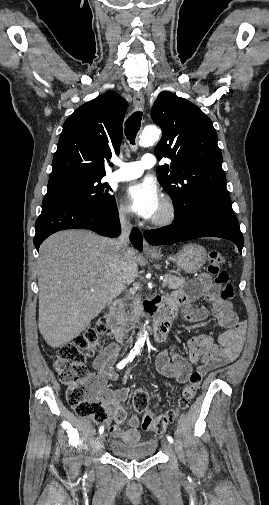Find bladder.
Listing matches in <instances>:
<instances>
[{"mask_svg": "<svg viewBox=\"0 0 269 505\" xmlns=\"http://www.w3.org/2000/svg\"><path fill=\"white\" fill-rule=\"evenodd\" d=\"M109 447L112 454L119 458H147L155 454L158 442L155 439H147L136 443H126L119 440H112Z\"/></svg>", "mask_w": 269, "mask_h": 505, "instance_id": "31cf9c89", "label": "bladder"}]
</instances>
